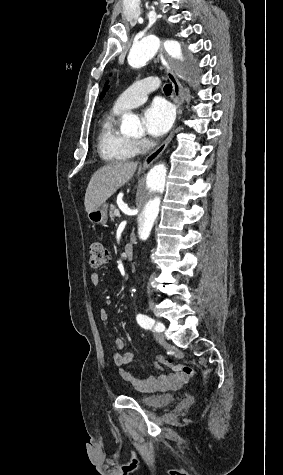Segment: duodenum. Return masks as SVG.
I'll list each match as a JSON object with an SVG mask.
<instances>
[{"label":"duodenum","instance_id":"410a0bca","mask_svg":"<svg viewBox=\"0 0 283 475\" xmlns=\"http://www.w3.org/2000/svg\"><path fill=\"white\" fill-rule=\"evenodd\" d=\"M134 254V246L132 243H128L124 248V257L126 260H130Z\"/></svg>","mask_w":283,"mask_h":475}]
</instances>
